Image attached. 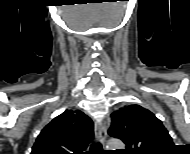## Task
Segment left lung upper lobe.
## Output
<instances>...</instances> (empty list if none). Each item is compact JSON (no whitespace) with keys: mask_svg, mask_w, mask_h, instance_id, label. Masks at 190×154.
Segmentation results:
<instances>
[{"mask_svg":"<svg viewBox=\"0 0 190 154\" xmlns=\"http://www.w3.org/2000/svg\"><path fill=\"white\" fill-rule=\"evenodd\" d=\"M111 120L108 134L125 143L126 154H158L174 145L162 122L139 105L120 108L112 113Z\"/></svg>","mask_w":190,"mask_h":154,"instance_id":"left-lung-upper-lobe-1","label":"left lung upper lobe"}]
</instances>
